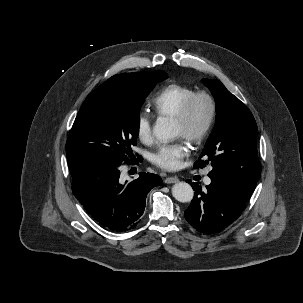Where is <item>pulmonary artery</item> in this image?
I'll use <instances>...</instances> for the list:
<instances>
[{"instance_id":"pulmonary-artery-1","label":"pulmonary artery","mask_w":303,"mask_h":303,"mask_svg":"<svg viewBox=\"0 0 303 303\" xmlns=\"http://www.w3.org/2000/svg\"><path fill=\"white\" fill-rule=\"evenodd\" d=\"M204 183H205L206 185H209V184L211 183V179H210L209 177H206V178L204 179Z\"/></svg>"}]
</instances>
